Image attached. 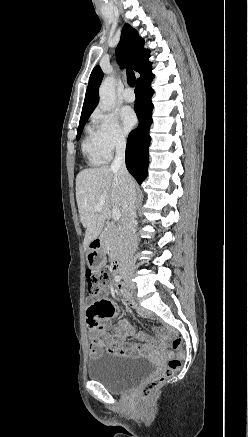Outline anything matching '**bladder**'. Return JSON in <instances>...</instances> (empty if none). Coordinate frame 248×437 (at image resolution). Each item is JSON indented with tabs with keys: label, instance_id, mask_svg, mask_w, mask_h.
<instances>
[{
	"label": "bladder",
	"instance_id": "bladder-1",
	"mask_svg": "<svg viewBox=\"0 0 248 437\" xmlns=\"http://www.w3.org/2000/svg\"><path fill=\"white\" fill-rule=\"evenodd\" d=\"M156 371V365L145 357L103 354L89 364L87 373L110 392L121 393L151 378Z\"/></svg>",
	"mask_w": 248,
	"mask_h": 437
}]
</instances>
